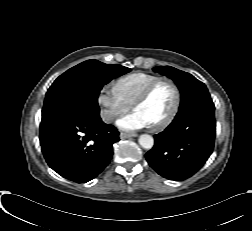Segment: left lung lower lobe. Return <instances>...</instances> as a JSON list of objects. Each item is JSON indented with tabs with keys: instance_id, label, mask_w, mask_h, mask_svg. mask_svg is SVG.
Listing matches in <instances>:
<instances>
[{
	"instance_id": "1",
	"label": "left lung lower lobe",
	"mask_w": 252,
	"mask_h": 231,
	"mask_svg": "<svg viewBox=\"0 0 252 231\" xmlns=\"http://www.w3.org/2000/svg\"><path fill=\"white\" fill-rule=\"evenodd\" d=\"M214 111L212 100L195 101L181 107L172 123L154 135L155 145L145 155L148 164L171 180L194 175L213 151Z\"/></svg>"
}]
</instances>
